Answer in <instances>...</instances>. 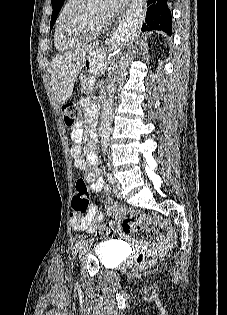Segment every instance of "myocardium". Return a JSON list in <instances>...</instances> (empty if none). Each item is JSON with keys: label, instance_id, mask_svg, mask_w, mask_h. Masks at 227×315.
Instances as JSON below:
<instances>
[{"label": "myocardium", "instance_id": "obj_1", "mask_svg": "<svg viewBox=\"0 0 227 315\" xmlns=\"http://www.w3.org/2000/svg\"><path fill=\"white\" fill-rule=\"evenodd\" d=\"M88 3L89 0H79L65 18L61 26V35L66 43L77 45L98 36L106 29V24L95 29L86 28L83 25V18Z\"/></svg>", "mask_w": 227, "mask_h": 315}]
</instances>
